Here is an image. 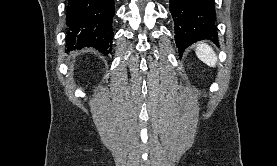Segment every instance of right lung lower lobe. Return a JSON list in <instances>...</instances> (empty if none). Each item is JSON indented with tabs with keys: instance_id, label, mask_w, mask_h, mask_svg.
<instances>
[{
	"instance_id": "right-lung-lower-lobe-1",
	"label": "right lung lower lobe",
	"mask_w": 277,
	"mask_h": 166,
	"mask_svg": "<svg viewBox=\"0 0 277 166\" xmlns=\"http://www.w3.org/2000/svg\"><path fill=\"white\" fill-rule=\"evenodd\" d=\"M114 0H68L67 52L94 47L104 55L111 52Z\"/></svg>"
}]
</instances>
